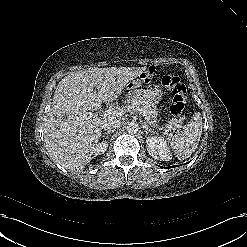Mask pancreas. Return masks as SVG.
<instances>
[{
    "instance_id": "1",
    "label": "pancreas",
    "mask_w": 247,
    "mask_h": 247,
    "mask_svg": "<svg viewBox=\"0 0 247 247\" xmlns=\"http://www.w3.org/2000/svg\"><path fill=\"white\" fill-rule=\"evenodd\" d=\"M126 109L128 111H139L141 114L145 116V119L147 123H149L151 126L157 125V106L154 103L148 102L146 99L139 95H135L131 97L127 101ZM179 122L178 119L174 118L171 119L168 124H166V127L169 128L170 126H175Z\"/></svg>"
}]
</instances>
